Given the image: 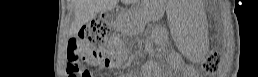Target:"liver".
<instances>
[{
    "instance_id": "obj_1",
    "label": "liver",
    "mask_w": 258,
    "mask_h": 77,
    "mask_svg": "<svg viewBox=\"0 0 258 77\" xmlns=\"http://www.w3.org/2000/svg\"><path fill=\"white\" fill-rule=\"evenodd\" d=\"M118 0H74L75 19L72 26L73 33L93 19L99 12L113 8Z\"/></svg>"
}]
</instances>
